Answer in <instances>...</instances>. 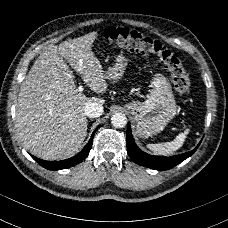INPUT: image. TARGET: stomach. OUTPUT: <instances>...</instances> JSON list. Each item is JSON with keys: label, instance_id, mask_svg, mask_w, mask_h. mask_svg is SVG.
Segmentation results:
<instances>
[{"label": "stomach", "instance_id": "stomach-1", "mask_svg": "<svg viewBox=\"0 0 228 228\" xmlns=\"http://www.w3.org/2000/svg\"><path fill=\"white\" fill-rule=\"evenodd\" d=\"M128 61L129 59L123 54L118 55L115 64L104 72L105 77L109 80L120 79ZM151 85L150 94L143 103L126 104V109L136 122V134L143 138L163 131L177 114L176 101L168 79L161 74H156Z\"/></svg>", "mask_w": 228, "mask_h": 228}]
</instances>
